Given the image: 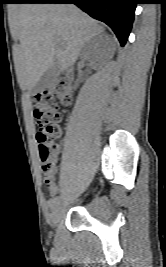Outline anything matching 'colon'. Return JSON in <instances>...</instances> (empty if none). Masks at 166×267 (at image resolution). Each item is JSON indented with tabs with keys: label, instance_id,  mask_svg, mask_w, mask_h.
<instances>
[{
	"label": "colon",
	"instance_id": "colon-1",
	"mask_svg": "<svg viewBox=\"0 0 166 267\" xmlns=\"http://www.w3.org/2000/svg\"><path fill=\"white\" fill-rule=\"evenodd\" d=\"M71 102L72 89L65 80L55 82L34 97L33 115L38 126V152L45 177H50L55 171L54 140L60 135L59 123L62 118L59 108Z\"/></svg>",
	"mask_w": 166,
	"mask_h": 267
}]
</instances>
